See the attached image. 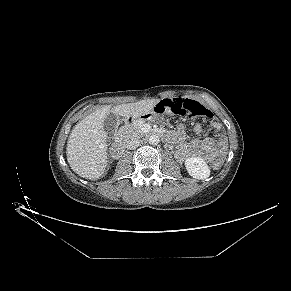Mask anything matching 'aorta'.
I'll return each mask as SVG.
<instances>
[{"instance_id":"aorta-1","label":"aorta","mask_w":291,"mask_h":291,"mask_svg":"<svg viewBox=\"0 0 291 291\" xmlns=\"http://www.w3.org/2000/svg\"><path fill=\"white\" fill-rule=\"evenodd\" d=\"M149 144H151V145H157L158 143H159V136L158 135H151L150 137H149Z\"/></svg>"}]
</instances>
